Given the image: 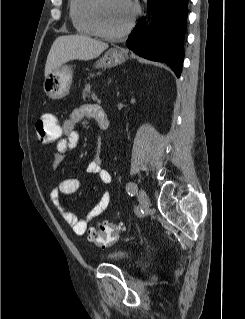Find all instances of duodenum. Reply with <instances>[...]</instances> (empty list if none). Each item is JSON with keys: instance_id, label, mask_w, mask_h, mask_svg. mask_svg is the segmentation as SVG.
I'll return each instance as SVG.
<instances>
[{"instance_id": "duodenum-1", "label": "duodenum", "mask_w": 245, "mask_h": 319, "mask_svg": "<svg viewBox=\"0 0 245 319\" xmlns=\"http://www.w3.org/2000/svg\"><path fill=\"white\" fill-rule=\"evenodd\" d=\"M97 122H98V125L100 127V129L102 131H106L108 130L109 128V120H108V117L106 115L105 112H102L98 117H97Z\"/></svg>"}]
</instances>
